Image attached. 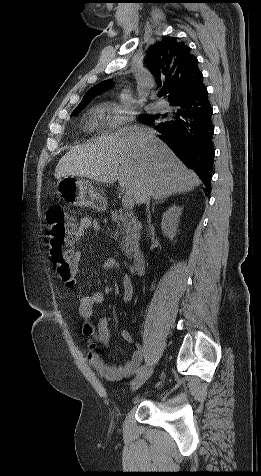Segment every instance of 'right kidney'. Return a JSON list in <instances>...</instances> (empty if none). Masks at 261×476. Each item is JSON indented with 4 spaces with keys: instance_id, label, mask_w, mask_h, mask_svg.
Here are the masks:
<instances>
[{
    "instance_id": "1",
    "label": "right kidney",
    "mask_w": 261,
    "mask_h": 476,
    "mask_svg": "<svg viewBox=\"0 0 261 476\" xmlns=\"http://www.w3.org/2000/svg\"><path fill=\"white\" fill-rule=\"evenodd\" d=\"M182 213V208L173 205L162 216L161 229L165 236L170 240L176 236L179 217Z\"/></svg>"
}]
</instances>
